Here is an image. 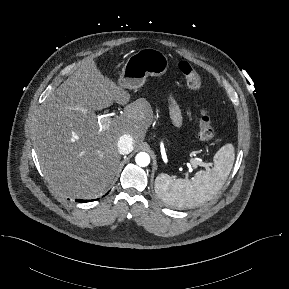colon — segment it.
<instances>
[{
	"label": "colon",
	"mask_w": 289,
	"mask_h": 289,
	"mask_svg": "<svg viewBox=\"0 0 289 289\" xmlns=\"http://www.w3.org/2000/svg\"><path fill=\"white\" fill-rule=\"evenodd\" d=\"M179 70L183 75L187 86L193 90L201 88V78L196 69L186 60L179 62ZM215 131L211 117L206 109L200 111L199 116V137L204 141H211L214 138Z\"/></svg>",
	"instance_id": "1"
}]
</instances>
